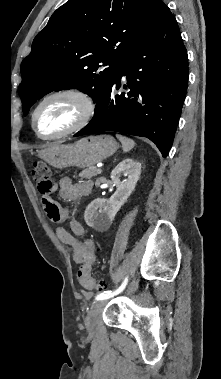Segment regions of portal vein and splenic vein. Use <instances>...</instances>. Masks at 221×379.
<instances>
[{"label": "portal vein and splenic vein", "instance_id": "1", "mask_svg": "<svg viewBox=\"0 0 221 379\" xmlns=\"http://www.w3.org/2000/svg\"><path fill=\"white\" fill-rule=\"evenodd\" d=\"M97 173H98V174H101V173H102L101 168H98V169H97Z\"/></svg>", "mask_w": 221, "mask_h": 379}]
</instances>
